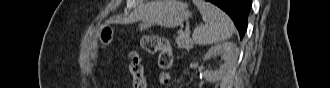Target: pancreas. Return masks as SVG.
<instances>
[{"label": "pancreas", "mask_w": 330, "mask_h": 88, "mask_svg": "<svg viewBox=\"0 0 330 88\" xmlns=\"http://www.w3.org/2000/svg\"><path fill=\"white\" fill-rule=\"evenodd\" d=\"M175 41L179 49H185L189 51V49H191L193 46V41L190 38V33L186 31L184 32L182 30H179Z\"/></svg>", "instance_id": "obj_1"}]
</instances>
